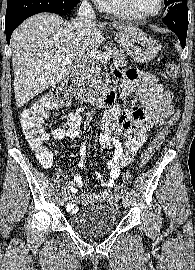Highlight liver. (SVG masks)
I'll use <instances>...</instances> for the list:
<instances>
[{
  "label": "liver",
  "instance_id": "1",
  "mask_svg": "<svg viewBox=\"0 0 195 270\" xmlns=\"http://www.w3.org/2000/svg\"><path fill=\"white\" fill-rule=\"evenodd\" d=\"M106 25L96 21L86 25L78 19L67 22L50 13H39L24 21L11 37L16 105L24 106L65 79L75 57L100 46ZM112 26L121 32L137 30L118 22Z\"/></svg>",
  "mask_w": 195,
  "mask_h": 270
}]
</instances>
